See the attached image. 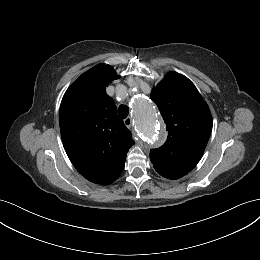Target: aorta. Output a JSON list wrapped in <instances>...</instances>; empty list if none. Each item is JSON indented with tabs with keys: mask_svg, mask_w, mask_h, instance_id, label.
<instances>
[{
	"mask_svg": "<svg viewBox=\"0 0 260 260\" xmlns=\"http://www.w3.org/2000/svg\"><path fill=\"white\" fill-rule=\"evenodd\" d=\"M132 108L140 136L148 146H158L161 143V136L157 125L156 111L152 103L140 96L133 100Z\"/></svg>",
	"mask_w": 260,
	"mask_h": 260,
	"instance_id": "obj_1",
	"label": "aorta"
}]
</instances>
